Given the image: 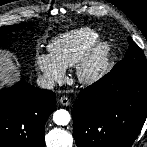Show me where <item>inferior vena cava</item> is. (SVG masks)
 I'll list each match as a JSON object with an SVG mask.
<instances>
[{
    "mask_svg": "<svg viewBox=\"0 0 147 147\" xmlns=\"http://www.w3.org/2000/svg\"><path fill=\"white\" fill-rule=\"evenodd\" d=\"M37 84L43 89H53L55 87V82L51 78L42 75L37 78Z\"/></svg>",
    "mask_w": 147,
    "mask_h": 147,
    "instance_id": "obj_1",
    "label": "inferior vena cava"
}]
</instances>
